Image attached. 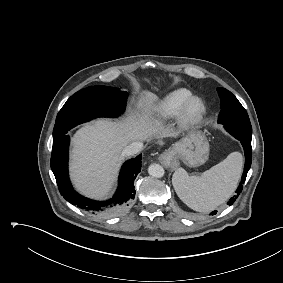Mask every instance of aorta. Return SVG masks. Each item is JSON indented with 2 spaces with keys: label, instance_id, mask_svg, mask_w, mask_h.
Returning <instances> with one entry per match:
<instances>
[{
  "label": "aorta",
  "instance_id": "762f6f07",
  "mask_svg": "<svg viewBox=\"0 0 283 283\" xmlns=\"http://www.w3.org/2000/svg\"><path fill=\"white\" fill-rule=\"evenodd\" d=\"M148 173L152 177L161 178L164 175V168L159 164H151L148 168Z\"/></svg>",
  "mask_w": 283,
  "mask_h": 283
}]
</instances>
